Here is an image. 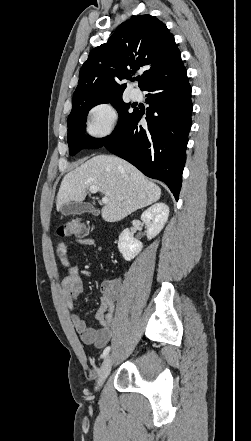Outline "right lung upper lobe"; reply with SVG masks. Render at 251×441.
Here are the masks:
<instances>
[{"instance_id": "right-lung-upper-lobe-1", "label": "right lung upper lobe", "mask_w": 251, "mask_h": 441, "mask_svg": "<svg viewBox=\"0 0 251 441\" xmlns=\"http://www.w3.org/2000/svg\"><path fill=\"white\" fill-rule=\"evenodd\" d=\"M181 54L166 25L151 15H138L122 23L104 43L93 49L79 73L73 101L122 96L136 70L142 90L156 78L182 66Z\"/></svg>"}]
</instances>
